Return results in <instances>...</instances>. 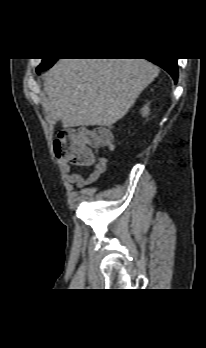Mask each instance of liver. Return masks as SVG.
<instances>
[{
    "instance_id": "1",
    "label": "liver",
    "mask_w": 206,
    "mask_h": 348,
    "mask_svg": "<svg viewBox=\"0 0 206 348\" xmlns=\"http://www.w3.org/2000/svg\"><path fill=\"white\" fill-rule=\"evenodd\" d=\"M159 72L146 59H60L45 74L44 91L64 127L110 126Z\"/></svg>"
}]
</instances>
